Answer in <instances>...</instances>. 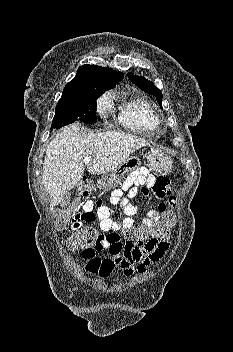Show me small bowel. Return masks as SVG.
I'll return each instance as SVG.
<instances>
[{
	"label": "small bowel",
	"mask_w": 233,
	"mask_h": 352,
	"mask_svg": "<svg viewBox=\"0 0 233 352\" xmlns=\"http://www.w3.org/2000/svg\"><path fill=\"white\" fill-rule=\"evenodd\" d=\"M90 187L89 182L84 184V196H87ZM125 191H128L127 197L123 196ZM140 193L152 197L157 207L147 210L141 226H138L132 218L136 213V206L132 205L129 200ZM169 193L170 186L166 177H155L146 168L141 167L125 179L121 188L111 193L110 202L117 206L116 210L103 205L101 201L94 203L90 199L86 200L82 211L77 213L72 220V230L77 231L84 223H91L97 218L99 227L105 235L98 246L83 250L85 270L108 279L116 270L122 271L126 276H130L134 271L143 273L150 264L159 261L168 249L167 241L154 246L123 244L119 232L139 227L151 228L160 219L162 208L165 207L164 198ZM95 207L96 213L94 212ZM102 249H107L110 257H99L97 252Z\"/></svg>",
	"instance_id": "c3829d8e"
}]
</instances>
